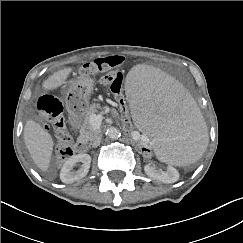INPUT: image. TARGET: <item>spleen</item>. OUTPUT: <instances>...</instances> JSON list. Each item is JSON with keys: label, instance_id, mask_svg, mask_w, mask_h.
I'll return each mask as SVG.
<instances>
[{"label": "spleen", "instance_id": "obj_1", "mask_svg": "<svg viewBox=\"0 0 243 243\" xmlns=\"http://www.w3.org/2000/svg\"><path fill=\"white\" fill-rule=\"evenodd\" d=\"M128 100L138 108V121L163 161H193L208 145V132L195 96L177 77L154 67H141L126 82Z\"/></svg>", "mask_w": 243, "mask_h": 243}]
</instances>
